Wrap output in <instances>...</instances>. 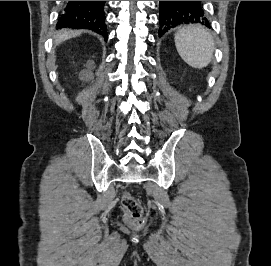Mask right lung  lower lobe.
Here are the masks:
<instances>
[{"mask_svg":"<svg viewBox=\"0 0 271 266\" xmlns=\"http://www.w3.org/2000/svg\"><path fill=\"white\" fill-rule=\"evenodd\" d=\"M104 5L105 1H68L59 17L57 27L89 29L101 34L106 40Z\"/></svg>","mask_w":271,"mask_h":266,"instance_id":"98d812e1","label":"right lung lower lobe"}]
</instances>
